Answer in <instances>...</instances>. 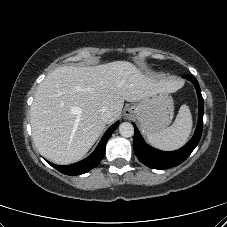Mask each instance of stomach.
I'll return each mask as SVG.
<instances>
[{
  "label": "stomach",
  "instance_id": "stomach-1",
  "mask_svg": "<svg viewBox=\"0 0 227 227\" xmlns=\"http://www.w3.org/2000/svg\"><path fill=\"white\" fill-rule=\"evenodd\" d=\"M144 135L165 129L173 118V99L166 92H157L131 106Z\"/></svg>",
  "mask_w": 227,
  "mask_h": 227
}]
</instances>
